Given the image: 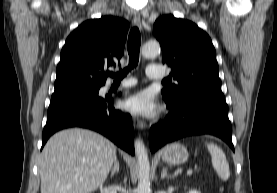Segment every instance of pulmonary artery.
<instances>
[{
  "label": "pulmonary artery",
  "instance_id": "pulmonary-artery-1",
  "mask_svg": "<svg viewBox=\"0 0 277 193\" xmlns=\"http://www.w3.org/2000/svg\"><path fill=\"white\" fill-rule=\"evenodd\" d=\"M146 74L151 79H159L165 76V72L158 66L149 65L146 69ZM136 83L135 79L129 78L121 82V88L131 87Z\"/></svg>",
  "mask_w": 277,
  "mask_h": 193
}]
</instances>
